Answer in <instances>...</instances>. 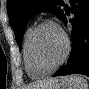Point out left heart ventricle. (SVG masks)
Returning <instances> with one entry per match:
<instances>
[{"label": "left heart ventricle", "mask_w": 89, "mask_h": 89, "mask_svg": "<svg viewBox=\"0 0 89 89\" xmlns=\"http://www.w3.org/2000/svg\"><path fill=\"white\" fill-rule=\"evenodd\" d=\"M64 46L61 32L55 26H44L39 31L34 45L35 56L40 67L53 66L62 56Z\"/></svg>", "instance_id": "b2bd125f"}]
</instances>
